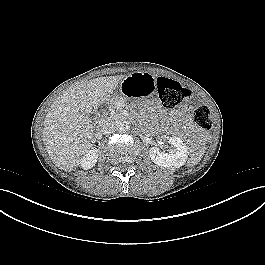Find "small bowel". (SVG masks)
I'll list each match as a JSON object with an SVG mask.
<instances>
[{"label":"small bowel","mask_w":265,"mask_h":265,"mask_svg":"<svg viewBox=\"0 0 265 265\" xmlns=\"http://www.w3.org/2000/svg\"><path fill=\"white\" fill-rule=\"evenodd\" d=\"M189 111H190L189 107L182 106L176 111L175 115L178 117H188Z\"/></svg>","instance_id":"c3829d8e"}]
</instances>
